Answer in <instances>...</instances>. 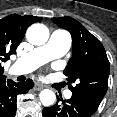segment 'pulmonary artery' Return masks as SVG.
<instances>
[{
    "mask_svg": "<svg viewBox=\"0 0 117 117\" xmlns=\"http://www.w3.org/2000/svg\"><path fill=\"white\" fill-rule=\"evenodd\" d=\"M71 37L64 30H55L48 42L19 58L11 67L13 74H26L34 71L41 65L62 57L69 49ZM71 91L65 92V97L70 98Z\"/></svg>",
    "mask_w": 117,
    "mask_h": 117,
    "instance_id": "pulmonary-artery-1",
    "label": "pulmonary artery"
}]
</instances>
